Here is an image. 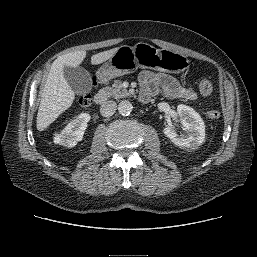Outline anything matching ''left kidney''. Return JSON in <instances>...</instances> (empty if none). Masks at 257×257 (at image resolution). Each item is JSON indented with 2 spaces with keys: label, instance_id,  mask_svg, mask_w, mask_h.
I'll use <instances>...</instances> for the list:
<instances>
[{
  "label": "left kidney",
  "instance_id": "left-kidney-1",
  "mask_svg": "<svg viewBox=\"0 0 257 257\" xmlns=\"http://www.w3.org/2000/svg\"><path fill=\"white\" fill-rule=\"evenodd\" d=\"M177 113L182 118L181 125L186 134L178 135L172 127H165L163 132L175 145L196 149L205 140V124L200 115L190 106L180 104Z\"/></svg>",
  "mask_w": 257,
  "mask_h": 257
}]
</instances>
